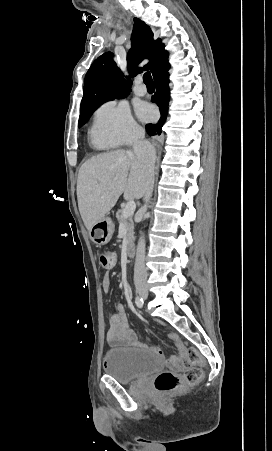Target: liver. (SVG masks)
Instances as JSON below:
<instances>
[{
  "label": "liver",
  "mask_w": 272,
  "mask_h": 451,
  "mask_svg": "<svg viewBox=\"0 0 272 451\" xmlns=\"http://www.w3.org/2000/svg\"><path fill=\"white\" fill-rule=\"evenodd\" d=\"M146 170L133 152L116 150L98 154L81 166L77 180L78 208L84 226L91 229L114 208L119 196L124 200L143 198Z\"/></svg>",
  "instance_id": "6515ba94"
}]
</instances>
